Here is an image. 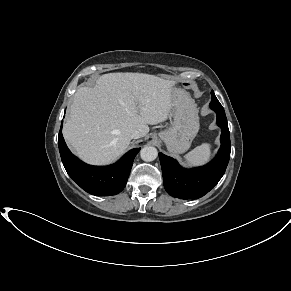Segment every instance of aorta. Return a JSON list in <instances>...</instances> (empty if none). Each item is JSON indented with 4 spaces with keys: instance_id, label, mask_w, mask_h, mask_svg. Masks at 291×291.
Wrapping results in <instances>:
<instances>
[{
    "instance_id": "aorta-1",
    "label": "aorta",
    "mask_w": 291,
    "mask_h": 291,
    "mask_svg": "<svg viewBox=\"0 0 291 291\" xmlns=\"http://www.w3.org/2000/svg\"><path fill=\"white\" fill-rule=\"evenodd\" d=\"M140 156H141L142 160H144L146 162H150V161H153L157 158L158 151L153 146H146V147L141 149Z\"/></svg>"
}]
</instances>
